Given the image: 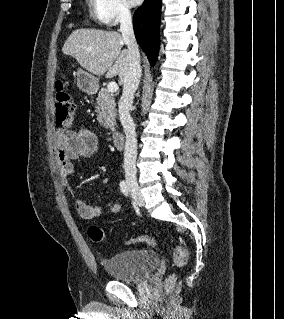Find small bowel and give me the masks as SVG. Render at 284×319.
<instances>
[{
    "mask_svg": "<svg viewBox=\"0 0 284 319\" xmlns=\"http://www.w3.org/2000/svg\"><path fill=\"white\" fill-rule=\"evenodd\" d=\"M56 142L60 172L66 182H69L74 172V160L92 158L99 151L97 135L83 125L76 130L59 129L56 132ZM75 207L78 215L84 220H93L102 214L116 215L121 210L120 204L115 201L108 202L104 206H93L81 196L76 198Z\"/></svg>",
    "mask_w": 284,
    "mask_h": 319,
    "instance_id": "small-bowel-1",
    "label": "small bowel"
}]
</instances>
